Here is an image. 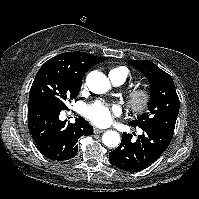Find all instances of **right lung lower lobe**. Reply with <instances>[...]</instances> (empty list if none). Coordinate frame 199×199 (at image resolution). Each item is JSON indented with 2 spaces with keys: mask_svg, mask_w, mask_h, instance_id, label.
I'll return each instance as SVG.
<instances>
[{
  "mask_svg": "<svg viewBox=\"0 0 199 199\" xmlns=\"http://www.w3.org/2000/svg\"><path fill=\"white\" fill-rule=\"evenodd\" d=\"M64 109L47 98L29 102L28 127L39 151L51 160L64 161L73 158L78 152V139L91 135L93 127L82 117L74 124L60 121Z\"/></svg>",
  "mask_w": 199,
  "mask_h": 199,
  "instance_id": "obj_1",
  "label": "right lung lower lobe"
}]
</instances>
